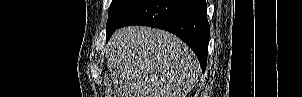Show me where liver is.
<instances>
[{"instance_id": "1", "label": "liver", "mask_w": 302, "mask_h": 97, "mask_svg": "<svg viewBox=\"0 0 302 97\" xmlns=\"http://www.w3.org/2000/svg\"><path fill=\"white\" fill-rule=\"evenodd\" d=\"M105 53L114 97H186L201 72L183 41L150 27L116 30Z\"/></svg>"}]
</instances>
